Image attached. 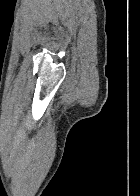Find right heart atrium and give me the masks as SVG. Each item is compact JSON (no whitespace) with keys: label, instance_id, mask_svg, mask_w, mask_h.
<instances>
[{"label":"right heart atrium","instance_id":"d8ad5b80","mask_svg":"<svg viewBox=\"0 0 140 196\" xmlns=\"http://www.w3.org/2000/svg\"><path fill=\"white\" fill-rule=\"evenodd\" d=\"M9 192H37V191H9Z\"/></svg>","mask_w":140,"mask_h":196}]
</instances>
